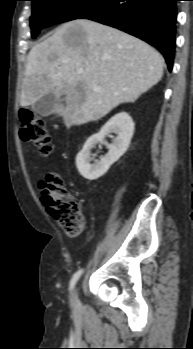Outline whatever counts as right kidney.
<instances>
[{
  "label": "right kidney",
  "instance_id": "1",
  "mask_svg": "<svg viewBox=\"0 0 193 349\" xmlns=\"http://www.w3.org/2000/svg\"><path fill=\"white\" fill-rule=\"evenodd\" d=\"M110 133H116L117 137L112 144L104 141ZM134 133V123L130 115L120 112L113 116L100 130L92 135L84 144L82 150L76 156V167L79 173L88 180H96L103 176L110 166L114 164L127 151ZM102 143L107 146L108 153L100 160L90 163V150L97 144Z\"/></svg>",
  "mask_w": 193,
  "mask_h": 349
}]
</instances>
